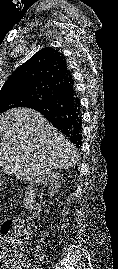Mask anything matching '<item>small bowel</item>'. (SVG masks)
Masks as SVG:
<instances>
[{"label": "small bowel", "mask_w": 118, "mask_h": 269, "mask_svg": "<svg viewBox=\"0 0 118 269\" xmlns=\"http://www.w3.org/2000/svg\"><path fill=\"white\" fill-rule=\"evenodd\" d=\"M14 269H22V267L17 265Z\"/></svg>", "instance_id": "small-bowel-1"}]
</instances>
